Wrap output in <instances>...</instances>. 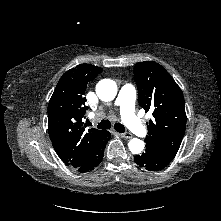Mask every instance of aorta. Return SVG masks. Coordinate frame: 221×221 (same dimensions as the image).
I'll list each match as a JSON object with an SVG mask.
<instances>
[{"label": "aorta", "instance_id": "aorta-1", "mask_svg": "<svg viewBox=\"0 0 221 221\" xmlns=\"http://www.w3.org/2000/svg\"><path fill=\"white\" fill-rule=\"evenodd\" d=\"M96 94L102 101H112L117 95V85L111 79H103L96 86ZM128 147L133 154H139L144 149V142L138 138H133L129 141Z\"/></svg>", "mask_w": 221, "mask_h": 221}]
</instances>
